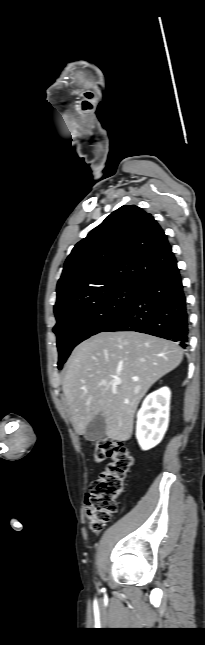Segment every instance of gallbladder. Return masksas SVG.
Segmentation results:
<instances>
[{
	"mask_svg": "<svg viewBox=\"0 0 205 645\" xmlns=\"http://www.w3.org/2000/svg\"><path fill=\"white\" fill-rule=\"evenodd\" d=\"M106 432V423L104 417L98 415L96 416L86 428L84 433V438L87 441H96L105 436Z\"/></svg>",
	"mask_w": 205,
	"mask_h": 645,
	"instance_id": "gallbladder-1",
	"label": "gallbladder"
}]
</instances>
